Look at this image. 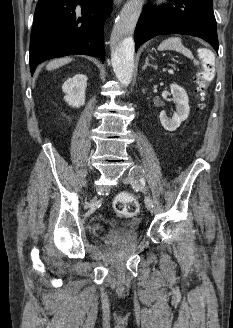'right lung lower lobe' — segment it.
<instances>
[{
  "instance_id": "obj_1",
  "label": "right lung lower lobe",
  "mask_w": 233,
  "mask_h": 328,
  "mask_svg": "<svg viewBox=\"0 0 233 328\" xmlns=\"http://www.w3.org/2000/svg\"><path fill=\"white\" fill-rule=\"evenodd\" d=\"M112 0H39L30 40V70L44 60L83 54L104 62L103 23Z\"/></svg>"
}]
</instances>
